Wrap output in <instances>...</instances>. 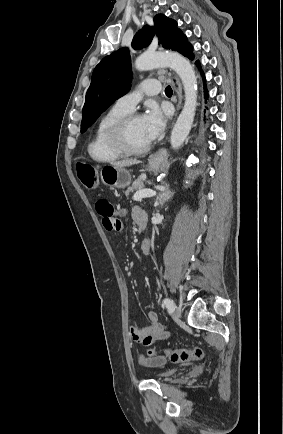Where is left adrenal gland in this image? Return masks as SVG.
Segmentation results:
<instances>
[{"label":"left adrenal gland","mask_w":283,"mask_h":434,"mask_svg":"<svg viewBox=\"0 0 283 434\" xmlns=\"http://www.w3.org/2000/svg\"><path fill=\"white\" fill-rule=\"evenodd\" d=\"M174 192H172L169 188L168 184H165V190L158 196L156 205L160 208L164 206V204L173 196Z\"/></svg>","instance_id":"left-adrenal-gland-1"}]
</instances>
